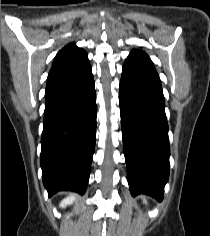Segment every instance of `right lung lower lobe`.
Returning a JSON list of instances; mask_svg holds the SVG:
<instances>
[{"label": "right lung lower lobe", "mask_w": 210, "mask_h": 236, "mask_svg": "<svg viewBox=\"0 0 210 236\" xmlns=\"http://www.w3.org/2000/svg\"><path fill=\"white\" fill-rule=\"evenodd\" d=\"M96 94L90 63L48 79L40 165L49 195L86 190L96 138Z\"/></svg>", "instance_id": "right-lung-lower-lobe-1"}]
</instances>
